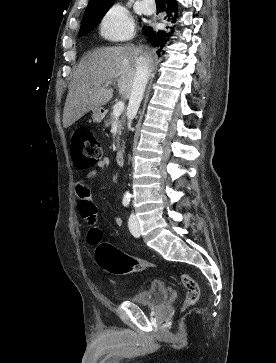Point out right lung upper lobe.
Instances as JSON below:
<instances>
[{
    "label": "right lung upper lobe",
    "mask_w": 276,
    "mask_h": 363,
    "mask_svg": "<svg viewBox=\"0 0 276 363\" xmlns=\"http://www.w3.org/2000/svg\"><path fill=\"white\" fill-rule=\"evenodd\" d=\"M112 2H115V0H90L88 5H98Z\"/></svg>",
    "instance_id": "cb5924a9"
}]
</instances>
